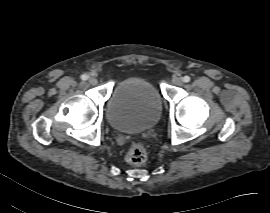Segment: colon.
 Instances as JSON below:
<instances>
[{
	"label": "colon",
	"instance_id": "obj_1",
	"mask_svg": "<svg viewBox=\"0 0 270 213\" xmlns=\"http://www.w3.org/2000/svg\"><path fill=\"white\" fill-rule=\"evenodd\" d=\"M147 157L146 147L141 141L131 142L125 152V160L132 165H140Z\"/></svg>",
	"mask_w": 270,
	"mask_h": 213
}]
</instances>
